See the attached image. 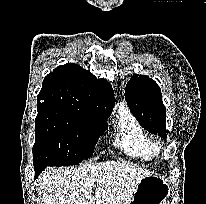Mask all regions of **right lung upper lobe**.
<instances>
[{
    "label": "right lung upper lobe",
    "instance_id": "obj_1",
    "mask_svg": "<svg viewBox=\"0 0 206 204\" xmlns=\"http://www.w3.org/2000/svg\"><path fill=\"white\" fill-rule=\"evenodd\" d=\"M37 104L109 117L114 107V93L107 80L97 79L71 63L57 67L44 78Z\"/></svg>",
    "mask_w": 206,
    "mask_h": 204
}]
</instances>
